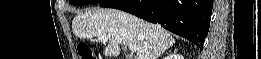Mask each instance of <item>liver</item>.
Returning a JSON list of instances; mask_svg holds the SVG:
<instances>
[{
  "label": "liver",
  "instance_id": "6515ba94",
  "mask_svg": "<svg viewBox=\"0 0 261 59\" xmlns=\"http://www.w3.org/2000/svg\"><path fill=\"white\" fill-rule=\"evenodd\" d=\"M72 31L79 38H108L105 56H118L120 46H136L135 59H158L175 43L173 36L155 24L116 9L94 8L78 14Z\"/></svg>",
  "mask_w": 261,
  "mask_h": 59
}]
</instances>
